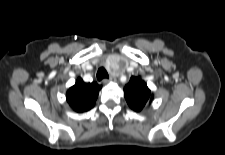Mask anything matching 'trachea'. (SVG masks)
<instances>
[{
	"label": "trachea",
	"instance_id": "3493384b",
	"mask_svg": "<svg viewBox=\"0 0 225 155\" xmlns=\"http://www.w3.org/2000/svg\"><path fill=\"white\" fill-rule=\"evenodd\" d=\"M109 78V75L104 67H101L97 72V79L101 81L102 79Z\"/></svg>",
	"mask_w": 225,
	"mask_h": 155
}]
</instances>
